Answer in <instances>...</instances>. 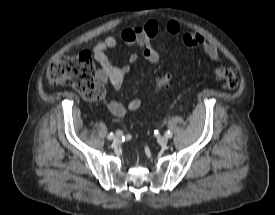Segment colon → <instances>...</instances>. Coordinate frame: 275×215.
<instances>
[{
    "instance_id": "1",
    "label": "colon",
    "mask_w": 275,
    "mask_h": 215,
    "mask_svg": "<svg viewBox=\"0 0 275 215\" xmlns=\"http://www.w3.org/2000/svg\"><path fill=\"white\" fill-rule=\"evenodd\" d=\"M213 74L224 88L236 90L239 87V79L232 69L218 66L213 69ZM173 79V74L159 78L156 91L168 88ZM47 80L52 86L74 88L87 100H100L104 96V88L96 77L92 57L86 51L71 57L55 58L48 67Z\"/></svg>"
}]
</instances>
